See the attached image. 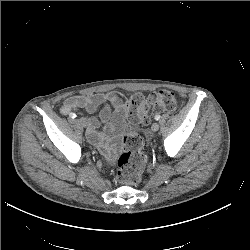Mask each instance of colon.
<instances>
[{
	"label": "colon",
	"mask_w": 250,
	"mask_h": 250,
	"mask_svg": "<svg viewBox=\"0 0 250 250\" xmlns=\"http://www.w3.org/2000/svg\"><path fill=\"white\" fill-rule=\"evenodd\" d=\"M179 106L178 97L169 90H158L147 97L135 94L127 104V119L131 125H147L149 111L173 112ZM123 152L118 159L117 179L126 185L141 181L145 168L143 141L140 135L131 133L123 138Z\"/></svg>",
	"instance_id": "1"
}]
</instances>
